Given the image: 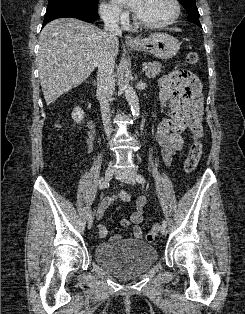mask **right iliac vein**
<instances>
[{
  "mask_svg": "<svg viewBox=\"0 0 245 314\" xmlns=\"http://www.w3.org/2000/svg\"><path fill=\"white\" fill-rule=\"evenodd\" d=\"M113 173H114L113 167L109 166L105 172V177H104L105 182H109L112 179ZM87 220H88V228L90 229L93 224V215L91 214L89 218L87 217Z\"/></svg>",
  "mask_w": 245,
  "mask_h": 314,
  "instance_id": "1",
  "label": "right iliac vein"
}]
</instances>
